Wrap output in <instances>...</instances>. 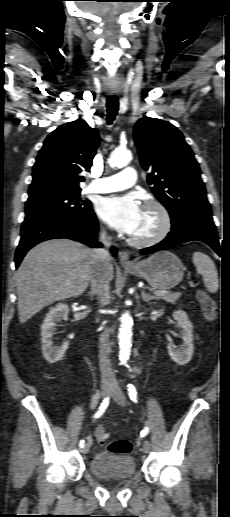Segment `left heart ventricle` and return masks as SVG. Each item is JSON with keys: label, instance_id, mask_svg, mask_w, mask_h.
Here are the masks:
<instances>
[{"label": "left heart ventricle", "instance_id": "left-heart-ventricle-1", "mask_svg": "<svg viewBox=\"0 0 230 517\" xmlns=\"http://www.w3.org/2000/svg\"><path fill=\"white\" fill-rule=\"evenodd\" d=\"M160 219L157 212L151 208H143L139 226L132 236L144 238L152 235L159 227Z\"/></svg>", "mask_w": 230, "mask_h": 517}]
</instances>
